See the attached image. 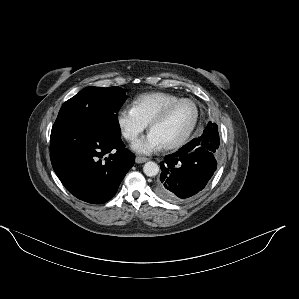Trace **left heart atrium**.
<instances>
[{
  "label": "left heart atrium",
  "instance_id": "obj_1",
  "mask_svg": "<svg viewBox=\"0 0 299 299\" xmlns=\"http://www.w3.org/2000/svg\"><path fill=\"white\" fill-rule=\"evenodd\" d=\"M162 147L158 138L151 132L132 145L133 150L141 154H150L160 150Z\"/></svg>",
  "mask_w": 299,
  "mask_h": 299
}]
</instances>
